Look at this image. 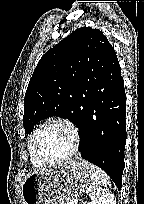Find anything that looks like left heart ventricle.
Wrapping results in <instances>:
<instances>
[{"instance_id": "obj_1", "label": "left heart ventricle", "mask_w": 144, "mask_h": 204, "mask_svg": "<svg viewBox=\"0 0 144 204\" xmlns=\"http://www.w3.org/2000/svg\"><path fill=\"white\" fill-rule=\"evenodd\" d=\"M72 145L70 130L62 125H52L41 135L38 150L45 159L55 160L67 155Z\"/></svg>"}]
</instances>
